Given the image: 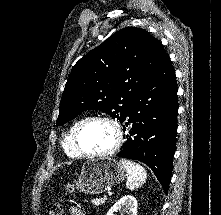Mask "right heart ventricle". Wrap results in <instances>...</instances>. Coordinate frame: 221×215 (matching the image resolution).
<instances>
[{
    "instance_id": "1",
    "label": "right heart ventricle",
    "mask_w": 221,
    "mask_h": 215,
    "mask_svg": "<svg viewBox=\"0 0 221 215\" xmlns=\"http://www.w3.org/2000/svg\"><path fill=\"white\" fill-rule=\"evenodd\" d=\"M84 120V118H79L76 119L67 129L65 135H64V140H63V149L66 153L67 156L72 157V158H77L80 157L79 153L75 149L74 146V133L77 129V127L80 125V123Z\"/></svg>"
}]
</instances>
